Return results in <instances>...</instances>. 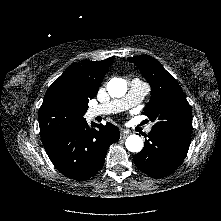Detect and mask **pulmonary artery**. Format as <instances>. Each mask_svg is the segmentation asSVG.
<instances>
[{
	"mask_svg": "<svg viewBox=\"0 0 221 221\" xmlns=\"http://www.w3.org/2000/svg\"><path fill=\"white\" fill-rule=\"evenodd\" d=\"M149 87L146 83L140 81L139 79L132 80L130 84V89L128 94L117 100H112L97 106H94L88 110V115L90 117H96L100 115H106L111 113H117L124 111L132 106L140 103L145 95L148 93ZM151 126H148L146 131L150 132Z\"/></svg>",
	"mask_w": 221,
	"mask_h": 221,
	"instance_id": "e3ab8cb5",
	"label": "pulmonary artery"
}]
</instances>
